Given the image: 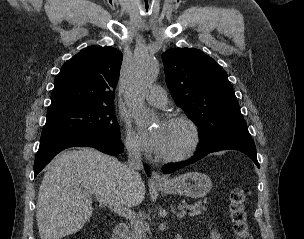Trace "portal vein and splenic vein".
I'll use <instances>...</instances> for the list:
<instances>
[{
    "mask_svg": "<svg viewBox=\"0 0 304 239\" xmlns=\"http://www.w3.org/2000/svg\"><path fill=\"white\" fill-rule=\"evenodd\" d=\"M100 203L107 205L109 208H112L116 213L119 215L126 217L127 219H135V214L132 213L130 210L122 206L121 204L117 203L115 200L110 198H97ZM186 211L181 210L180 213L177 214V218H182L185 216Z\"/></svg>",
    "mask_w": 304,
    "mask_h": 239,
    "instance_id": "obj_1",
    "label": "portal vein and splenic vein"
}]
</instances>
